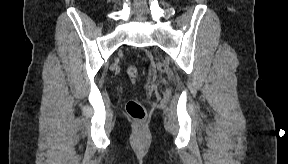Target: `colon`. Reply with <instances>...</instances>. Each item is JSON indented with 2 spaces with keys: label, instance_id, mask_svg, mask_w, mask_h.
Here are the masks:
<instances>
[{
  "label": "colon",
  "instance_id": "obj_1",
  "mask_svg": "<svg viewBox=\"0 0 288 164\" xmlns=\"http://www.w3.org/2000/svg\"><path fill=\"white\" fill-rule=\"evenodd\" d=\"M127 75L131 81L135 82L139 77L138 69L130 65L127 67ZM126 111L131 120H144L146 117V111L141 101L132 99L127 102Z\"/></svg>",
  "mask_w": 288,
  "mask_h": 164
}]
</instances>
